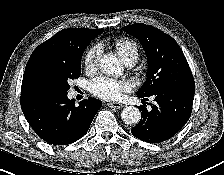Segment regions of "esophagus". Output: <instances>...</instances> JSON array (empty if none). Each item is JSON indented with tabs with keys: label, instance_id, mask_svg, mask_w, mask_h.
<instances>
[{
	"label": "esophagus",
	"instance_id": "esophagus-1",
	"mask_svg": "<svg viewBox=\"0 0 224 175\" xmlns=\"http://www.w3.org/2000/svg\"><path fill=\"white\" fill-rule=\"evenodd\" d=\"M107 105L110 108H116V109H121V108L124 107V105L122 103H119V102H109V103H107Z\"/></svg>",
	"mask_w": 224,
	"mask_h": 175
}]
</instances>
